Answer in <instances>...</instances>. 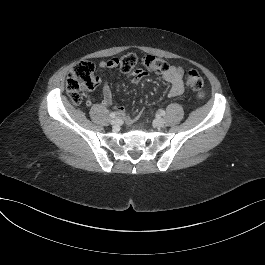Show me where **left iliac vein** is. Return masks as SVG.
<instances>
[{
  "label": "left iliac vein",
  "instance_id": "obj_1",
  "mask_svg": "<svg viewBox=\"0 0 265 265\" xmlns=\"http://www.w3.org/2000/svg\"><path fill=\"white\" fill-rule=\"evenodd\" d=\"M164 120L161 118V117H157L155 120H154V124L156 127H163L164 126Z\"/></svg>",
  "mask_w": 265,
  "mask_h": 265
}]
</instances>
